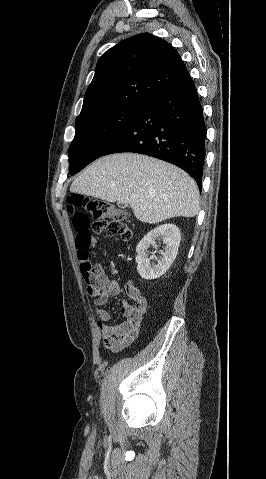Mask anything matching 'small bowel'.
Instances as JSON below:
<instances>
[{
  "label": "small bowel",
  "mask_w": 266,
  "mask_h": 479,
  "mask_svg": "<svg viewBox=\"0 0 266 479\" xmlns=\"http://www.w3.org/2000/svg\"><path fill=\"white\" fill-rule=\"evenodd\" d=\"M95 243L96 240H91V244ZM94 276L96 284L94 305L97 308L99 317L97 325L101 332L103 344L107 349L113 352L120 351L129 346L138 336L143 317L148 310L147 300L134 282H128L125 286V290L134 304L131 305L122 300L121 310L126 320L121 324L113 325L110 323L112 315L104 306L110 297L120 296V284L105 273L101 264H97L94 267Z\"/></svg>",
  "instance_id": "c3829d8e"
}]
</instances>
